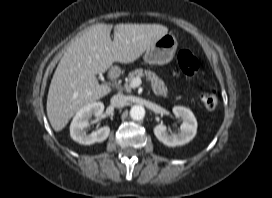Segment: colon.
I'll use <instances>...</instances> for the list:
<instances>
[{"label":"colon","mask_w":272,"mask_h":198,"mask_svg":"<svg viewBox=\"0 0 272 198\" xmlns=\"http://www.w3.org/2000/svg\"><path fill=\"white\" fill-rule=\"evenodd\" d=\"M177 62L180 70L186 75H195L200 70L198 58L189 50H180L177 55ZM201 101L206 109H214L218 102L215 89L205 88L201 94Z\"/></svg>","instance_id":"obj_1"}]
</instances>
